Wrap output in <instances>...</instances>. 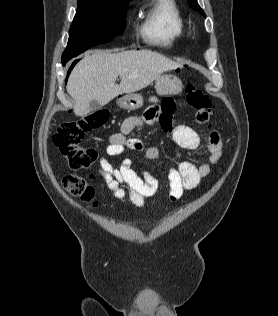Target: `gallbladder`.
Here are the masks:
<instances>
[{
    "label": "gallbladder",
    "mask_w": 278,
    "mask_h": 316,
    "mask_svg": "<svg viewBox=\"0 0 278 316\" xmlns=\"http://www.w3.org/2000/svg\"><path fill=\"white\" fill-rule=\"evenodd\" d=\"M101 107H102V105L99 102H97L96 100L90 101L91 112H96V111L100 110Z\"/></svg>",
    "instance_id": "1"
}]
</instances>
